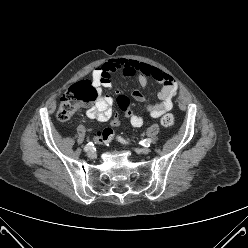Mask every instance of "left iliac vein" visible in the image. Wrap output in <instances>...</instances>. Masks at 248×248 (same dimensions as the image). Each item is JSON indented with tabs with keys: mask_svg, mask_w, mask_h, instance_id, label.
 <instances>
[{
	"mask_svg": "<svg viewBox=\"0 0 248 248\" xmlns=\"http://www.w3.org/2000/svg\"><path fill=\"white\" fill-rule=\"evenodd\" d=\"M138 151H140L143 154H148L150 152V149L149 148H141V149H138Z\"/></svg>",
	"mask_w": 248,
	"mask_h": 248,
	"instance_id": "4c4485c4",
	"label": "left iliac vein"
}]
</instances>
